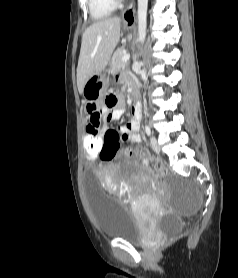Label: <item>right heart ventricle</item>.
I'll use <instances>...</instances> for the list:
<instances>
[{
    "instance_id": "right-heart-ventricle-1",
    "label": "right heart ventricle",
    "mask_w": 238,
    "mask_h": 278,
    "mask_svg": "<svg viewBox=\"0 0 238 278\" xmlns=\"http://www.w3.org/2000/svg\"><path fill=\"white\" fill-rule=\"evenodd\" d=\"M89 13L92 19L102 20L112 14L116 4L112 0H87Z\"/></svg>"
}]
</instances>
